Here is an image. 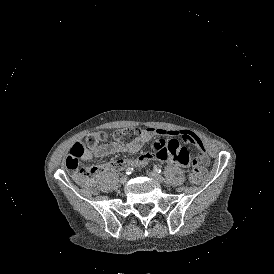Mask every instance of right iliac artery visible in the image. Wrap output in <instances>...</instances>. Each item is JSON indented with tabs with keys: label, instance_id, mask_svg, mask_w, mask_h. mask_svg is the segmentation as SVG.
I'll list each match as a JSON object with an SVG mask.
<instances>
[{
	"label": "right iliac artery",
	"instance_id": "82829eb1",
	"mask_svg": "<svg viewBox=\"0 0 274 274\" xmlns=\"http://www.w3.org/2000/svg\"><path fill=\"white\" fill-rule=\"evenodd\" d=\"M132 172H133V168H132V167H128V168L126 169V174H127V175H130Z\"/></svg>",
	"mask_w": 274,
	"mask_h": 274
}]
</instances>
